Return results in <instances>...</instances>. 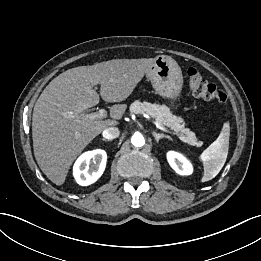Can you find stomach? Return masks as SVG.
Instances as JSON below:
<instances>
[{
    "instance_id": "stomach-1",
    "label": "stomach",
    "mask_w": 261,
    "mask_h": 261,
    "mask_svg": "<svg viewBox=\"0 0 261 261\" xmlns=\"http://www.w3.org/2000/svg\"><path fill=\"white\" fill-rule=\"evenodd\" d=\"M147 78L158 95L172 102L177 101L183 87V76L174 59L166 55L157 56L147 72Z\"/></svg>"
}]
</instances>
